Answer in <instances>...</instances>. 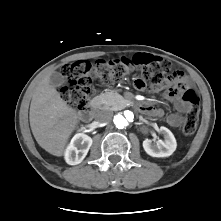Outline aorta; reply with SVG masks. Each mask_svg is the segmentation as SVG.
<instances>
[{"mask_svg":"<svg viewBox=\"0 0 221 221\" xmlns=\"http://www.w3.org/2000/svg\"><path fill=\"white\" fill-rule=\"evenodd\" d=\"M134 113L131 110H125L123 113L117 114L114 117V124L117 128L122 129L129 123L133 122Z\"/></svg>","mask_w":221,"mask_h":221,"instance_id":"1","label":"aorta"}]
</instances>
